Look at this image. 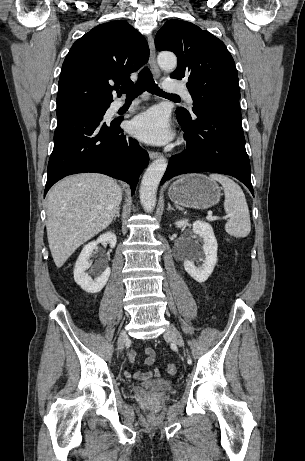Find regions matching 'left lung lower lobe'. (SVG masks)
Wrapping results in <instances>:
<instances>
[{
    "label": "left lung lower lobe",
    "mask_w": 305,
    "mask_h": 461,
    "mask_svg": "<svg viewBox=\"0 0 305 461\" xmlns=\"http://www.w3.org/2000/svg\"><path fill=\"white\" fill-rule=\"evenodd\" d=\"M177 119L185 132L186 150L170 158L161 185L180 174L216 172L236 177L254 195L239 99L214 100L195 108L192 117L177 114Z\"/></svg>",
    "instance_id": "obj_1"
}]
</instances>
